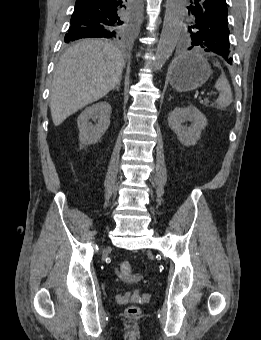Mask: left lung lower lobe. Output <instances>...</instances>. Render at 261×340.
Wrapping results in <instances>:
<instances>
[{
    "mask_svg": "<svg viewBox=\"0 0 261 340\" xmlns=\"http://www.w3.org/2000/svg\"><path fill=\"white\" fill-rule=\"evenodd\" d=\"M188 10L194 15L195 20H205L210 17H227V5L225 0H191ZM232 64L231 55L226 59Z\"/></svg>",
    "mask_w": 261,
    "mask_h": 340,
    "instance_id": "obj_1",
    "label": "left lung lower lobe"
}]
</instances>
